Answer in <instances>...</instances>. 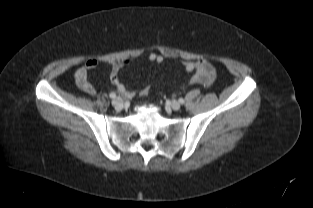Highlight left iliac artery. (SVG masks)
I'll return each instance as SVG.
<instances>
[{
    "mask_svg": "<svg viewBox=\"0 0 313 208\" xmlns=\"http://www.w3.org/2000/svg\"><path fill=\"white\" fill-rule=\"evenodd\" d=\"M179 102H180L181 104H183L185 101H184L183 98H180V99H179Z\"/></svg>",
    "mask_w": 313,
    "mask_h": 208,
    "instance_id": "1",
    "label": "left iliac artery"
}]
</instances>
